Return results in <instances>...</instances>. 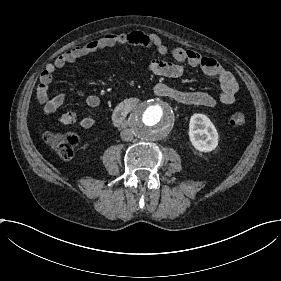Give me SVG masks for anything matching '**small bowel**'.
<instances>
[{
  "instance_id": "c3829d8e",
  "label": "small bowel",
  "mask_w": 281,
  "mask_h": 281,
  "mask_svg": "<svg viewBox=\"0 0 281 281\" xmlns=\"http://www.w3.org/2000/svg\"><path fill=\"white\" fill-rule=\"evenodd\" d=\"M118 46L145 47L159 54L169 55L174 60L184 63L191 68H198L219 81L222 103L230 105L235 101L238 92L237 81L231 72L222 68L216 60L206 57L195 50L184 49L180 46L169 47L160 36L154 33L131 30L125 33H108L99 39L78 45L58 57L53 64L44 69L37 89V102L42 107L43 112L46 115H51L66 101V94L64 92L57 93L53 98L49 97V85L57 69L63 68L66 64L73 63L83 56ZM147 71L154 76L178 79L183 76L184 67L181 64L154 60L148 64ZM153 90L157 95L167 97L180 105L212 108L217 104L216 97L203 90H184L163 82L156 83ZM86 102L95 111L98 109L100 101L95 94H87ZM96 120V114L80 120L74 113H65L56 118L57 123L60 125L68 126L78 123L83 128L93 127Z\"/></svg>"
}]
</instances>
